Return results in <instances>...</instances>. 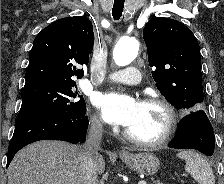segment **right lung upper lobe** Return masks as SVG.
Segmentation results:
<instances>
[{"label":"right lung upper lobe","mask_w":224,"mask_h":184,"mask_svg":"<svg viewBox=\"0 0 224 184\" xmlns=\"http://www.w3.org/2000/svg\"><path fill=\"white\" fill-rule=\"evenodd\" d=\"M93 45V27L87 17L56 20L34 39L25 84L40 80L74 83L84 75L79 66L89 62Z\"/></svg>","instance_id":"right-lung-upper-lobe-1"}]
</instances>
